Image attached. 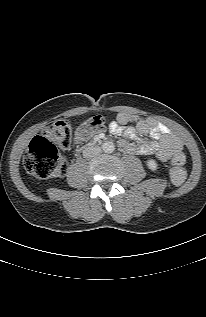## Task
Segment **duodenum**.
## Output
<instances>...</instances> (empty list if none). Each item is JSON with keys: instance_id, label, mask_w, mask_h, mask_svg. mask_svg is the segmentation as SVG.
I'll use <instances>...</instances> for the list:
<instances>
[{"instance_id": "1", "label": "duodenum", "mask_w": 206, "mask_h": 317, "mask_svg": "<svg viewBox=\"0 0 206 317\" xmlns=\"http://www.w3.org/2000/svg\"><path fill=\"white\" fill-rule=\"evenodd\" d=\"M96 142H98V140L95 141V143H96ZM91 147H93V144L84 145V146H82V147H80V148L78 149V152L87 151V150L90 149Z\"/></svg>"}]
</instances>
